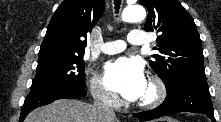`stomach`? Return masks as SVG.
<instances>
[{
    "instance_id": "stomach-1",
    "label": "stomach",
    "mask_w": 221,
    "mask_h": 122,
    "mask_svg": "<svg viewBox=\"0 0 221 122\" xmlns=\"http://www.w3.org/2000/svg\"><path fill=\"white\" fill-rule=\"evenodd\" d=\"M156 122H177V121L170 118H163V119H158Z\"/></svg>"
}]
</instances>
